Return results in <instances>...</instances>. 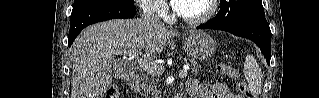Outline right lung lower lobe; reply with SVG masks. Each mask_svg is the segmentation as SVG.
Wrapping results in <instances>:
<instances>
[{"mask_svg": "<svg viewBox=\"0 0 319 98\" xmlns=\"http://www.w3.org/2000/svg\"><path fill=\"white\" fill-rule=\"evenodd\" d=\"M135 6L118 2H90L73 7L70 19L69 46L86 26L115 18H133Z\"/></svg>", "mask_w": 319, "mask_h": 98, "instance_id": "1", "label": "right lung lower lobe"}]
</instances>
